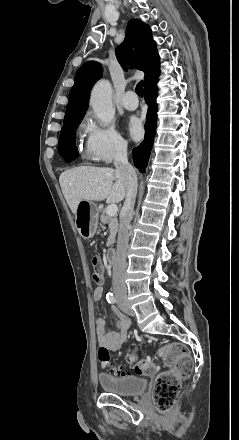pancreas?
<instances>
[{"instance_id":"1","label":"pancreas","mask_w":239,"mask_h":440,"mask_svg":"<svg viewBox=\"0 0 239 440\" xmlns=\"http://www.w3.org/2000/svg\"><path fill=\"white\" fill-rule=\"evenodd\" d=\"M101 224H109V238L107 240L106 246H113L116 240V234L118 232V218L117 216H108L107 210H102V214L100 216Z\"/></svg>"}]
</instances>
